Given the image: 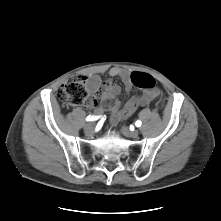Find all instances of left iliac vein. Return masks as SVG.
<instances>
[{
    "instance_id": "left-iliac-vein-1",
    "label": "left iliac vein",
    "mask_w": 221,
    "mask_h": 221,
    "mask_svg": "<svg viewBox=\"0 0 221 221\" xmlns=\"http://www.w3.org/2000/svg\"><path fill=\"white\" fill-rule=\"evenodd\" d=\"M122 132L125 136L127 137H132V138H135L138 136L139 134V131L138 130H129L127 127H123L122 128Z\"/></svg>"
}]
</instances>
